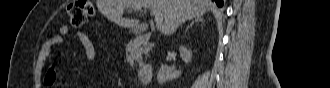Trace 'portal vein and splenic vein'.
Segmentation results:
<instances>
[{"label": "portal vein and splenic vein", "mask_w": 330, "mask_h": 88, "mask_svg": "<svg viewBox=\"0 0 330 88\" xmlns=\"http://www.w3.org/2000/svg\"><path fill=\"white\" fill-rule=\"evenodd\" d=\"M151 14L154 15L156 26L159 28L163 22V13L158 9H152Z\"/></svg>", "instance_id": "18ae733b"}]
</instances>
